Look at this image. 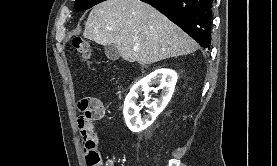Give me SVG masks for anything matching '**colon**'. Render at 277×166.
<instances>
[{
  "mask_svg": "<svg viewBox=\"0 0 277 166\" xmlns=\"http://www.w3.org/2000/svg\"><path fill=\"white\" fill-rule=\"evenodd\" d=\"M73 45L76 50L80 53V55L87 61H91V48L89 43L82 38H75L73 41ZM90 114L87 113L86 119H82L81 132L85 138H88L90 141H93L94 131L91 123L89 122ZM91 166H112V162L110 160L103 159L99 153H94L91 155L89 159Z\"/></svg>",
  "mask_w": 277,
  "mask_h": 166,
  "instance_id": "5ec220e1",
  "label": "colon"
}]
</instances>
